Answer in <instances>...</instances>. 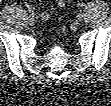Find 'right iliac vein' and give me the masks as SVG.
I'll list each match as a JSON object with an SVG mask.
<instances>
[{
	"label": "right iliac vein",
	"instance_id": "right-iliac-vein-1",
	"mask_svg": "<svg viewBox=\"0 0 111 106\" xmlns=\"http://www.w3.org/2000/svg\"><path fill=\"white\" fill-rule=\"evenodd\" d=\"M28 23H29L30 25H34V24H35V18H34L33 15H29V16H28Z\"/></svg>",
	"mask_w": 111,
	"mask_h": 106
}]
</instances>
